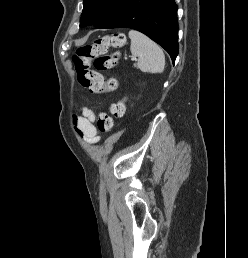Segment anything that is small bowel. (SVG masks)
<instances>
[{
  "instance_id": "1",
  "label": "small bowel",
  "mask_w": 248,
  "mask_h": 258,
  "mask_svg": "<svg viewBox=\"0 0 248 258\" xmlns=\"http://www.w3.org/2000/svg\"><path fill=\"white\" fill-rule=\"evenodd\" d=\"M75 130L87 144H95L100 140L95 126V114L89 108L82 109V115L74 118Z\"/></svg>"
}]
</instances>
